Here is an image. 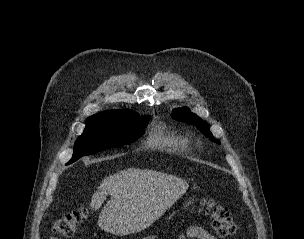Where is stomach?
<instances>
[{"instance_id":"1","label":"stomach","mask_w":304,"mask_h":239,"mask_svg":"<svg viewBox=\"0 0 304 239\" xmlns=\"http://www.w3.org/2000/svg\"><path fill=\"white\" fill-rule=\"evenodd\" d=\"M192 201H193V199L190 198L187 202H185V204H183V208L186 209L189 206V204L192 203Z\"/></svg>"}]
</instances>
